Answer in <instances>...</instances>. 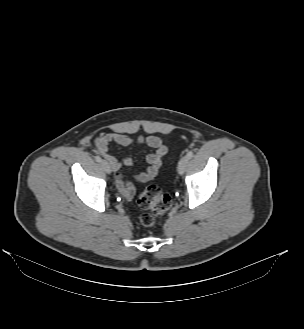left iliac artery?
Masks as SVG:
<instances>
[{"mask_svg": "<svg viewBox=\"0 0 304 329\" xmlns=\"http://www.w3.org/2000/svg\"><path fill=\"white\" fill-rule=\"evenodd\" d=\"M187 157L188 159H191L193 157V151L190 150L188 153H187Z\"/></svg>", "mask_w": 304, "mask_h": 329, "instance_id": "44dca946", "label": "left iliac artery"}]
</instances>
